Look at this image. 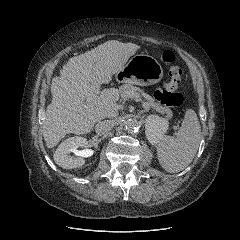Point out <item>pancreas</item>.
Instances as JSON below:
<instances>
[{
  "label": "pancreas",
  "mask_w": 240,
  "mask_h": 240,
  "mask_svg": "<svg viewBox=\"0 0 240 240\" xmlns=\"http://www.w3.org/2000/svg\"><path fill=\"white\" fill-rule=\"evenodd\" d=\"M119 94L123 100H128L132 98V94L137 96L139 99L144 101L156 111L166 114L168 119H171L173 114L170 108L161 106L159 103L155 102V100L148 94H146L143 90L138 87L132 86L131 84H123L119 87ZM143 101V100H142Z\"/></svg>",
  "instance_id": "1"
}]
</instances>
